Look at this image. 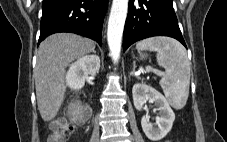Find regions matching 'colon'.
Here are the masks:
<instances>
[{
  "instance_id": "obj_1",
  "label": "colon",
  "mask_w": 227,
  "mask_h": 142,
  "mask_svg": "<svg viewBox=\"0 0 227 142\" xmlns=\"http://www.w3.org/2000/svg\"><path fill=\"white\" fill-rule=\"evenodd\" d=\"M85 121V114L82 111H74L69 119L59 118L54 120L51 125V134L48 142H63L74 130V126Z\"/></svg>"
}]
</instances>
